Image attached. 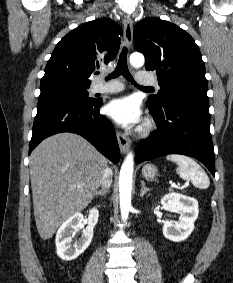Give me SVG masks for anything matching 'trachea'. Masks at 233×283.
Masks as SVG:
<instances>
[{
  "label": "trachea",
  "instance_id": "1",
  "mask_svg": "<svg viewBox=\"0 0 233 283\" xmlns=\"http://www.w3.org/2000/svg\"><path fill=\"white\" fill-rule=\"evenodd\" d=\"M120 75H123L128 81H130L132 84H134L135 86H137L141 89L153 90V88H151V87H141L134 82L133 77L131 76V74L128 70V66H127V48L126 47H123V50L120 53V57H119L116 69L114 70L113 73H111L107 77V80L112 79V78H116Z\"/></svg>",
  "mask_w": 233,
  "mask_h": 283
}]
</instances>
